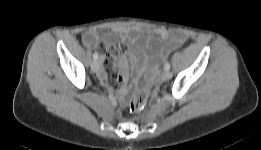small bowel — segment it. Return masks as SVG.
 I'll use <instances>...</instances> for the list:
<instances>
[{
	"instance_id": "c3829d8e",
	"label": "small bowel",
	"mask_w": 261,
	"mask_h": 150,
	"mask_svg": "<svg viewBox=\"0 0 261 150\" xmlns=\"http://www.w3.org/2000/svg\"><path fill=\"white\" fill-rule=\"evenodd\" d=\"M86 47L97 48L103 55L104 72L100 73L106 83L117 88L121 78L114 69L115 43L128 46L130 64L129 72L132 82H136L141 70H145L150 81H155L158 75V59H166L170 53L181 46L186 35L177 30H167L161 27L114 26L99 33L96 29L86 30L82 34Z\"/></svg>"
}]
</instances>
